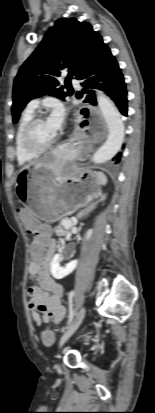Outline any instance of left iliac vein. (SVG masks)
Wrapping results in <instances>:
<instances>
[{
  "mask_svg": "<svg viewBox=\"0 0 155 413\" xmlns=\"http://www.w3.org/2000/svg\"><path fill=\"white\" fill-rule=\"evenodd\" d=\"M86 313V308L82 307L80 311L78 312L77 316L75 319L72 321V323L69 325L67 330L64 332L60 339L59 345L62 346L73 334L74 332L78 329L80 324L82 323ZM58 371H60L59 365L56 367Z\"/></svg>",
  "mask_w": 155,
  "mask_h": 413,
  "instance_id": "4c4485c4",
  "label": "left iliac vein"
}]
</instances>
